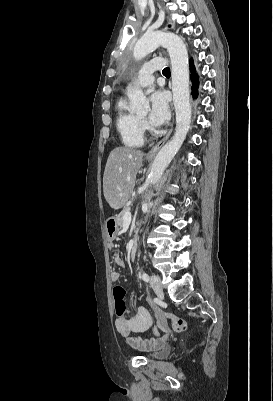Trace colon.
I'll list each match as a JSON object with an SVG mask.
<instances>
[{
	"label": "colon",
	"mask_w": 273,
	"mask_h": 401,
	"mask_svg": "<svg viewBox=\"0 0 273 401\" xmlns=\"http://www.w3.org/2000/svg\"><path fill=\"white\" fill-rule=\"evenodd\" d=\"M125 289L122 285H116L113 288L114 313L119 320L126 316V305L124 301Z\"/></svg>",
	"instance_id": "5ec220e1"
}]
</instances>
